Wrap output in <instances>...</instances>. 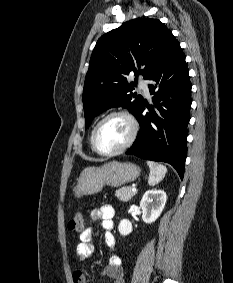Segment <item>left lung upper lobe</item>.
<instances>
[{
	"instance_id": "5c2ea615",
	"label": "left lung upper lobe",
	"mask_w": 233,
	"mask_h": 283,
	"mask_svg": "<svg viewBox=\"0 0 233 283\" xmlns=\"http://www.w3.org/2000/svg\"><path fill=\"white\" fill-rule=\"evenodd\" d=\"M179 43L159 20L137 18L99 38L86 74L83 104L85 129L92 119L111 107H125L136 115L143 98L132 93L127 75L148 79Z\"/></svg>"
}]
</instances>
